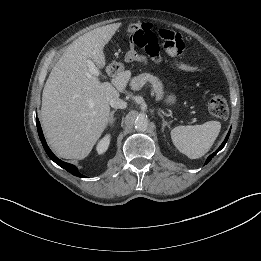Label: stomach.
Here are the masks:
<instances>
[{"label":"stomach","mask_w":261,"mask_h":261,"mask_svg":"<svg viewBox=\"0 0 261 261\" xmlns=\"http://www.w3.org/2000/svg\"><path fill=\"white\" fill-rule=\"evenodd\" d=\"M111 66L116 68V67H118V64L117 63H113ZM165 101L168 104H173L176 101V96L174 94H169V95H167Z\"/></svg>","instance_id":"1"}]
</instances>
